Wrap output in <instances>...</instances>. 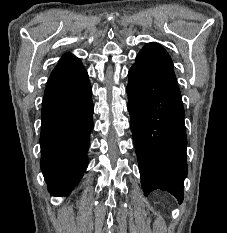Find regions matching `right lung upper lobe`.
I'll return each mask as SVG.
<instances>
[{
  "label": "right lung upper lobe",
  "instance_id": "right-lung-upper-lobe-1",
  "mask_svg": "<svg viewBox=\"0 0 227 233\" xmlns=\"http://www.w3.org/2000/svg\"><path fill=\"white\" fill-rule=\"evenodd\" d=\"M87 79L81 61L70 53L63 55L49 77L42 105L70 92Z\"/></svg>",
  "mask_w": 227,
  "mask_h": 233
}]
</instances>
